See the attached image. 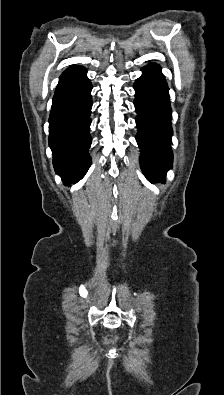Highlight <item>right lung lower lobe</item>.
<instances>
[{
    "label": "right lung lower lobe",
    "instance_id": "obj_1",
    "mask_svg": "<svg viewBox=\"0 0 224 395\" xmlns=\"http://www.w3.org/2000/svg\"><path fill=\"white\" fill-rule=\"evenodd\" d=\"M86 72L80 66L66 69L52 99L49 146L55 171L66 185L82 179L91 165L92 85Z\"/></svg>",
    "mask_w": 224,
    "mask_h": 395
}]
</instances>
